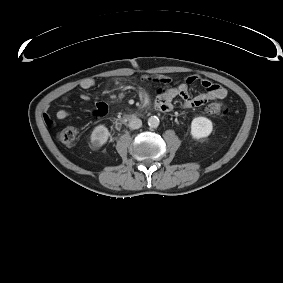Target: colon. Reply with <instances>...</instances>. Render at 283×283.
I'll use <instances>...</instances> for the list:
<instances>
[{
  "instance_id": "colon-1",
  "label": "colon",
  "mask_w": 283,
  "mask_h": 283,
  "mask_svg": "<svg viewBox=\"0 0 283 283\" xmlns=\"http://www.w3.org/2000/svg\"><path fill=\"white\" fill-rule=\"evenodd\" d=\"M206 113L212 117H224L228 114L227 106L222 102H213L206 106ZM77 131L72 127L62 129L58 133V140L66 147H71L75 144Z\"/></svg>"
}]
</instances>
